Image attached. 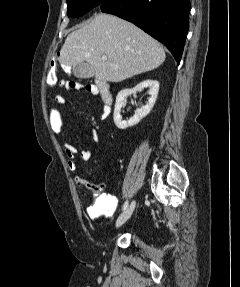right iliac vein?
<instances>
[{"label":"right iliac vein","instance_id":"obj_1","mask_svg":"<svg viewBox=\"0 0 240 287\" xmlns=\"http://www.w3.org/2000/svg\"><path fill=\"white\" fill-rule=\"evenodd\" d=\"M136 206V201H132L131 204L122 212L116 221V228L121 227L132 215Z\"/></svg>","mask_w":240,"mask_h":287}]
</instances>
